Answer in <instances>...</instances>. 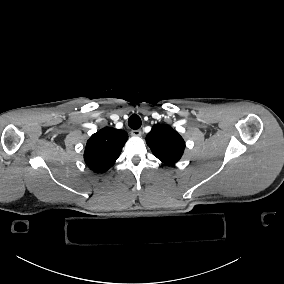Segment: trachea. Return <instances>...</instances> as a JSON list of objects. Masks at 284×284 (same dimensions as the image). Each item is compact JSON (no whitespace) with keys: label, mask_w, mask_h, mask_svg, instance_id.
I'll list each match as a JSON object with an SVG mask.
<instances>
[{"label":"trachea","mask_w":284,"mask_h":284,"mask_svg":"<svg viewBox=\"0 0 284 284\" xmlns=\"http://www.w3.org/2000/svg\"><path fill=\"white\" fill-rule=\"evenodd\" d=\"M128 125L131 129L137 130L141 127V118L137 114H132L128 119Z\"/></svg>","instance_id":"3493384b"}]
</instances>
